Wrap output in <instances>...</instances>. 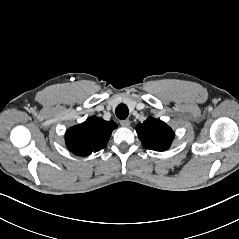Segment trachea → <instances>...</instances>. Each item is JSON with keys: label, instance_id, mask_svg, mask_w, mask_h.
<instances>
[{"label": "trachea", "instance_id": "trachea-1", "mask_svg": "<svg viewBox=\"0 0 239 239\" xmlns=\"http://www.w3.org/2000/svg\"><path fill=\"white\" fill-rule=\"evenodd\" d=\"M118 119H126L129 114L128 107L125 104H119L115 110Z\"/></svg>", "mask_w": 239, "mask_h": 239}]
</instances>
